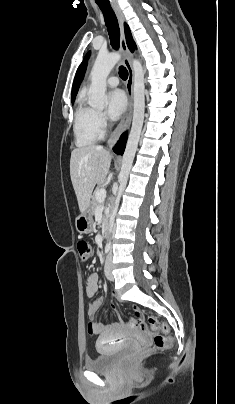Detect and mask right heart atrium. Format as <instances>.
<instances>
[{"label": "right heart atrium", "instance_id": "d8ad5b80", "mask_svg": "<svg viewBox=\"0 0 235 404\" xmlns=\"http://www.w3.org/2000/svg\"><path fill=\"white\" fill-rule=\"evenodd\" d=\"M96 120L98 127L103 130L107 126V119L103 112L96 111Z\"/></svg>", "mask_w": 235, "mask_h": 404}]
</instances>
